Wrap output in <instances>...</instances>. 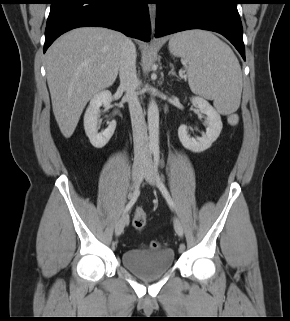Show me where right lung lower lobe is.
Instances as JSON below:
<instances>
[{"instance_id":"98d812e1","label":"right lung lower lobe","mask_w":290,"mask_h":321,"mask_svg":"<svg viewBox=\"0 0 290 321\" xmlns=\"http://www.w3.org/2000/svg\"><path fill=\"white\" fill-rule=\"evenodd\" d=\"M148 0H51L44 53L61 34L84 26H101L150 40Z\"/></svg>"}]
</instances>
